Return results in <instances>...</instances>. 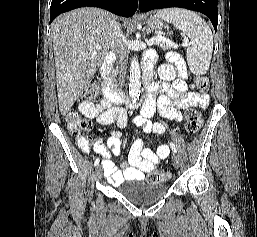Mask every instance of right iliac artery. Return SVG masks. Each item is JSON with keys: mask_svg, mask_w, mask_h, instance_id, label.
<instances>
[{"mask_svg": "<svg viewBox=\"0 0 257 237\" xmlns=\"http://www.w3.org/2000/svg\"><path fill=\"white\" fill-rule=\"evenodd\" d=\"M99 164V158H97L94 162V166H97Z\"/></svg>", "mask_w": 257, "mask_h": 237, "instance_id": "obj_1", "label": "right iliac artery"}]
</instances>
